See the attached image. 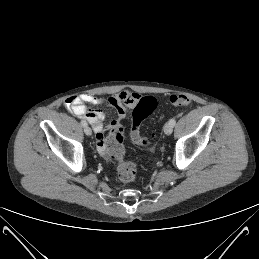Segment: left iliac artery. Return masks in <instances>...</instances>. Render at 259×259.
I'll use <instances>...</instances> for the list:
<instances>
[{
  "mask_svg": "<svg viewBox=\"0 0 259 259\" xmlns=\"http://www.w3.org/2000/svg\"><path fill=\"white\" fill-rule=\"evenodd\" d=\"M169 123L174 127L176 124V120L174 118L170 119Z\"/></svg>",
  "mask_w": 259,
  "mask_h": 259,
  "instance_id": "left-iliac-artery-1",
  "label": "left iliac artery"
}]
</instances>
